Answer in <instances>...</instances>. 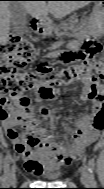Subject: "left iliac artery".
Masks as SVG:
<instances>
[{
    "label": "left iliac artery",
    "instance_id": "44dca946",
    "mask_svg": "<svg viewBox=\"0 0 104 189\" xmlns=\"http://www.w3.org/2000/svg\"><path fill=\"white\" fill-rule=\"evenodd\" d=\"M88 167H89L90 177H91V180H92L91 186H95L96 185V181L94 179V169H95L94 159H89Z\"/></svg>",
    "mask_w": 104,
    "mask_h": 189
}]
</instances>
